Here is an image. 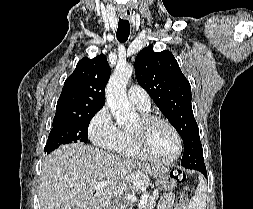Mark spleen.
I'll use <instances>...</instances> for the list:
<instances>
[{
    "label": "spleen",
    "instance_id": "obj_1",
    "mask_svg": "<svg viewBox=\"0 0 253 209\" xmlns=\"http://www.w3.org/2000/svg\"><path fill=\"white\" fill-rule=\"evenodd\" d=\"M200 182L193 196L189 202L188 209H206L207 186L202 177H199Z\"/></svg>",
    "mask_w": 253,
    "mask_h": 209
}]
</instances>
